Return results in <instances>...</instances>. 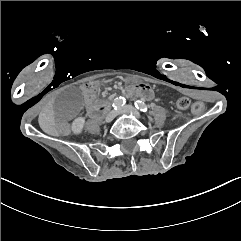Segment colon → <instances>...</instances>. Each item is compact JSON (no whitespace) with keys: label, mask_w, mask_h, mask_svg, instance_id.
<instances>
[{"label":"colon","mask_w":241,"mask_h":241,"mask_svg":"<svg viewBox=\"0 0 241 241\" xmlns=\"http://www.w3.org/2000/svg\"><path fill=\"white\" fill-rule=\"evenodd\" d=\"M177 107L180 110H188L191 108V102L187 98H180L177 100ZM193 111L197 114H200L204 111V104L202 102H195L193 104Z\"/></svg>","instance_id":"obj_1"}]
</instances>
